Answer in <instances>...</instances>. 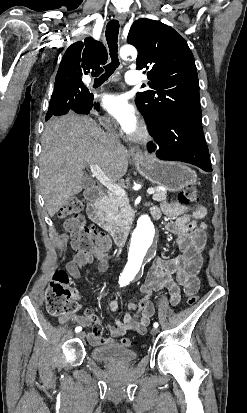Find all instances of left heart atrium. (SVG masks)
<instances>
[{
	"label": "left heart atrium",
	"mask_w": 247,
	"mask_h": 413,
	"mask_svg": "<svg viewBox=\"0 0 247 413\" xmlns=\"http://www.w3.org/2000/svg\"><path fill=\"white\" fill-rule=\"evenodd\" d=\"M104 109L118 122L122 131L134 135L139 128V113L125 95L107 94L101 98Z\"/></svg>",
	"instance_id": "obj_1"
}]
</instances>
